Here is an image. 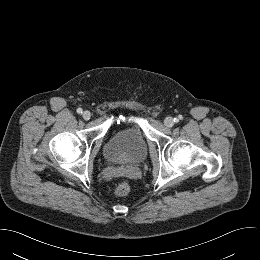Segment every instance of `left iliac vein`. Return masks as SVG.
Returning <instances> with one entry per match:
<instances>
[{
    "mask_svg": "<svg viewBox=\"0 0 260 260\" xmlns=\"http://www.w3.org/2000/svg\"><path fill=\"white\" fill-rule=\"evenodd\" d=\"M164 124L167 127H172L174 125V119L172 117H166L164 120Z\"/></svg>",
    "mask_w": 260,
    "mask_h": 260,
    "instance_id": "left-iliac-vein-1",
    "label": "left iliac vein"
}]
</instances>
